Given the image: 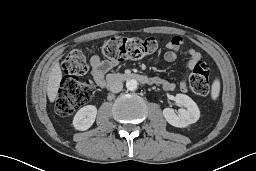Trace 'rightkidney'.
Listing matches in <instances>:
<instances>
[{"mask_svg": "<svg viewBox=\"0 0 256 171\" xmlns=\"http://www.w3.org/2000/svg\"><path fill=\"white\" fill-rule=\"evenodd\" d=\"M96 115L97 108L94 105H87L82 107L74 116V128L79 131H85L89 129L94 123Z\"/></svg>", "mask_w": 256, "mask_h": 171, "instance_id": "obj_1", "label": "right kidney"}]
</instances>
